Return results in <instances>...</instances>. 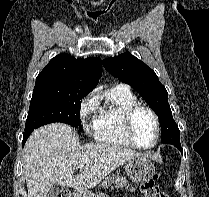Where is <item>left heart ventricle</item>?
<instances>
[{
  "label": "left heart ventricle",
  "mask_w": 209,
  "mask_h": 197,
  "mask_svg": "<svg viewBox=\"0 0 209 197\" xmlns=\"http://www.w3.org/2000/svg\"><path fill=\"white\" fill-rule=\"evenodd\" d=\"M133 136L140 145L152 144L155 137V124L152 116L145 110H139L133 119Z\"/></svg>",
  "instance_id": "obj_1"
}]
</instances>
